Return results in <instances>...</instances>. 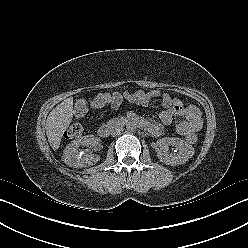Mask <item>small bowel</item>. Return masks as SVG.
I'll return each instance as SVG.
<instances>
[{"label": "small bowel", "instance_id": "1", "mask_svg": "<svg viewBox=\"0 0 248 248\" xmlns=\"http://www.w3.org/2000/svg\"><path fill=\"white\" fill-rule=\"evenodd\" d=\"M106 95L110 97L108 106L113 111L117 110L124 100L146 106L151 100L160 98L164 108L159 114L160 121L163 124L168 125L172 122L173 118L181 117L182 119L176 124V131L186 140L189 136L195 135L203 124L201 113L196 106L183 104L179 99L172 97L168 93L161 92L160 90L124 91L122 93L115 92L112 95ZM148 130L153 136H159L163 131L162 127L156 123H149Z\"/></svg>", "mask_w": 248, "mask_h": 248}]
</instances>
